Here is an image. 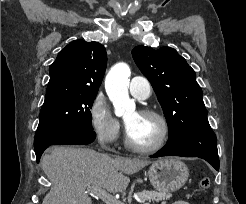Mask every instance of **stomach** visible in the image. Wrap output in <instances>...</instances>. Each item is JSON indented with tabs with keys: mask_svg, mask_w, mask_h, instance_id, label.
<instances>
[{
	"mask_svg": "<svg viewBox=\"0 0 246 204\" xmlns=\"http://www.w3.org/2000/svg\"><path fill=\"white\" fill-rule=\"evenodd\" d=\"M150 183L159 191L175 192L189 177L188 167L174 158H162L153 162L148 170Z\"/></svg>",
	"mask_w": 246,
	"mask_h": 204,
	"instance_id": "stomach-1",
	"label": "stomach"
}]
</instances>
